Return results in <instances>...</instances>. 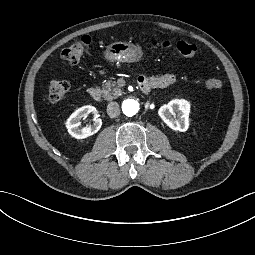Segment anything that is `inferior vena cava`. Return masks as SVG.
<instances>
[{"mask_svg": "<svg viewBox=\"0 0 255 255\" xmlns=\"http://www.w3.org/2000/svg\"><path fill=\"white\" fill-rule=\"evenodd\" d=\"M107 113L110 118H115L120 114L119 104L117 102H110L107 106Z\"/></svg>", "mask_w": 255, "mask_h": 255, "instance_id": "602c4592", "label": "inferior vena cava"}]
</instances>
